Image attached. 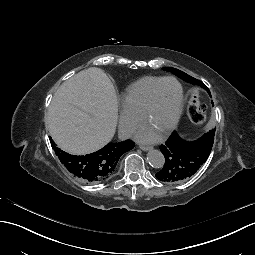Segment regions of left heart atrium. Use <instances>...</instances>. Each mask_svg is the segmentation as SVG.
Listing matches in <instances>:
<instances>
[{
  "mask_svg": "<svg viewBox=\"0 0 255 255\" xmlns=\"http://www.w3.org/2000/svg\"><path fill=\"white\" fill-rule=\"evenodd\" d=\"M138 137L144 141H154V140H157L159 135H157L149 130L143 129L139 132Z\"/></svg>",
  "mask_w": 255,
  "mask_h": 255,
  "instance_id": "obj_1",
  "label": "left heart atrium"
}]
</instances>
